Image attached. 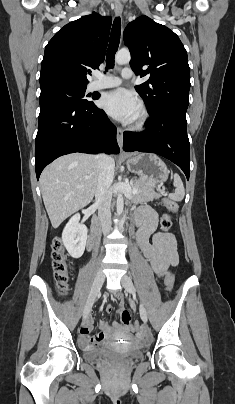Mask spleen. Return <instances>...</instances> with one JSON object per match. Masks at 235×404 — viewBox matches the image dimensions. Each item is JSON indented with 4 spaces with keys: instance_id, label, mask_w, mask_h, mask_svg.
Listing matches in <instances>:
<instances>
[{
    "instance_id": "spleen-1",
    "label": "spleen",
    "mask_w": 235,
    "mask_h": 404,
    "mask_svg": "<svg viewBox=\"0 0 235 404\" xmlns=\"http://www.w3.org/2000/svg\"><path fill=\"white\" fill-rule=\"evenodd\" d=\"M173 185L175 187L174 193L169 194V198L174 200V201H182L185 195V189L182 183L181 178L179 177L178 174H173Z\"/></svg>"
}]
</instances>
